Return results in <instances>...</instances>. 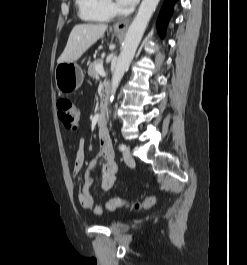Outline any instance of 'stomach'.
Returning <instances> with one entry per match:
<instances>
[{
	"instance_id": "obj_1",
	"label": "stomach",
	"mask_w": 247,
	"mask_h": 265,
	"mask_svg": "<svg viewBox=\"0 0 247 265\" xmlns=\"http://www.w3.org/2000/svg\"><path fill=\"white\" fill-rule=\"evenodd\" d=\"M119 35V33H115ZM84 74L81 67L74 62L59 63L55 68L56 88L62 94L77 90L83 83Z\"/></svg>"
}]
</instances>
